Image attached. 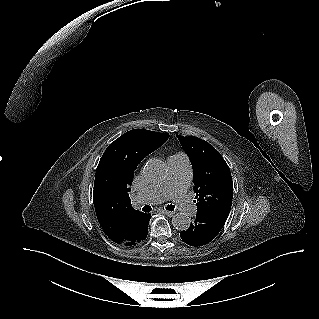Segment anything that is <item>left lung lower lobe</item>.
Here are the masks:
<instances>
[{
	"mask_svg": "<svg viewBox=\"0 0 319 319\" xmlns=\"http://www.w3.org/2000/svg\"><path fill=\"white\" fill-rule=\"evenodd\" d=\"M228 215V212L223 211L197 212L190 227L180 233L181 239L191 246L209 243L220 232Z\"/></svg>",
	"mask_w": 319,
	"mask_h": 319,
	"instance_id": "obj_1",
	"label": "left lung lower lobe"
}]
</instances>
